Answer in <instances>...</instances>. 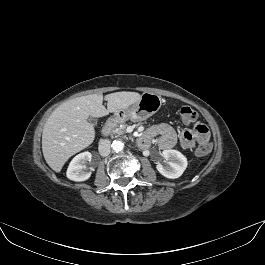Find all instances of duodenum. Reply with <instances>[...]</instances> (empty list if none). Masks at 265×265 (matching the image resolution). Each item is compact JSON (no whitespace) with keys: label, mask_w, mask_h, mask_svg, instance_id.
I'll return each instance as SVG.
<instances>
[{"label":"duodenum","mask_w":265,"mask_h":265,"mask_svg":"<svg viewBox=\"0 0 265 265\" xmlns=\"http://www.w3.org/2000/svg\"><path fill=\"white\" fill-rule=\"evenodd\" d=\"M118 122H119L118 116L114 115V116L109 117L102 129V134L104 136H108ZM145 140L146 138L144 136H141L139 138V144L143 145Z\"/></svg>","instance_id":"obj_1"}]
</instances>
